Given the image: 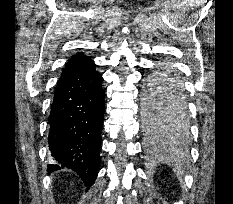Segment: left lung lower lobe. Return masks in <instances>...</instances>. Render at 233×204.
Segmentation results:
<instances>
[{"mask_svg":"<svg viewBox=\"0 0 233 204\" xmlns=\"http://www.w3.org/2000/svg\"><path fill=\"white\" fill-rule=\"evenodd\" d=\"M157 74H159V78L161 80H167V81H171L175 84L181 85V81H180L179 77L171 70H160L159 73H157ZM155 130H166L167 132L170 133V135L175 133V132L181 131V130H178L174 127H158V128L149 129V131H155Z\"/></svg>","mask_w":233,"mask_h":204,"instance_id":"left-lung-lower-lobe-1","label":"left lung lower lobe"}]
</instances>
